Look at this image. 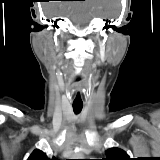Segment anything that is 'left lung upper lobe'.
<instances>
[{"instance_id":"obj_1","label":"left lung upper lobe","mask_w":160,"mask_h":160,"mask_svg":"<svg viewBox=\"0 0 160 160\" xmlns=\"http://www.w3.org/2000/svg\"><path fill=\"white\" fill-rule=\"evenodd\" d=\"M107 158H102V160H131L128 154L120 148H110L106 150Z\"/></svg>"}]
</instances>
